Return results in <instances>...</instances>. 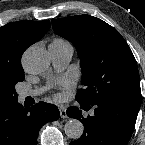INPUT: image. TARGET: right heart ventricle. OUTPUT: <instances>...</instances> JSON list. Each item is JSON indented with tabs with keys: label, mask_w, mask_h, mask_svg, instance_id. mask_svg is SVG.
<instances>
[{
	"label": "right heart ventricle",
	"mask_w": 145,
	"mask_h": 145,
	"mask_svg": "<svg viewBox=\"0 0 145 145\" xmlns=\"http://www.w3.org/2000/svg\"><path fill=\"white\" fill-rule=\"evenodd\" d=\"M50 45L65 46L70 45V43L63 38H55Z\"/></svg>",
	"instance_id": "1"
}]
</instances>
